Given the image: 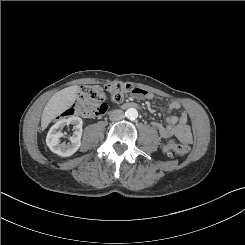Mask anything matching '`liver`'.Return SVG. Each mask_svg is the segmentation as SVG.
<instances>
[{
  "label": "liver",
  "mask_w": 245,
  "mask_h": 245,
  "mask_svg": "<svg viewBox=\"0 0 245 245\" xmlns=\"http://www.w3.org/2000/svg\"><path fill=\"white\" fill-rule=\"evenodd\" d=\"M77 86H70L56 92L44 107L41 117V129L47 128L49 123L68 109L76 99Z\"/></svg>",
  "instance_id": "obj_1"
}]
</instances>
